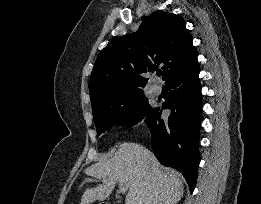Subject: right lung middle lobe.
Segmentation results:
<instances>
[{
	"instance_id": "dd1d6c3e",
	"label": "right lung middle lobe",
	"mask_w": 261,
	"mask_h": 204,
	"mask_svg": "<svg viewBox=\"0 0 261 204\" xmlns=\"http://www.w3.org/2000/svg\"><path fill=\"white\" fill-rule=\"evenodd\" d=\"M98 136L114 125L133 126L151 110L143 90L122 94L116 100L92 107Z\"/></svg>"
}]
</instances>
